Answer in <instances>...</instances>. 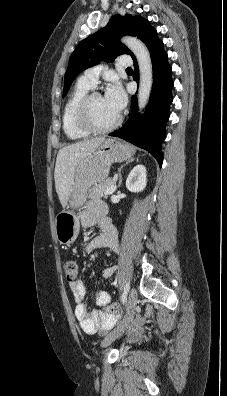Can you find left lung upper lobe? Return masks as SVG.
<instances>
[{"label": "left lung upper lobe", "instance_id": "obj_1", "mask_svg": "<svg viewBox=\"0 0 227 396\" xmlns=\"http://www.w3.org/2000/svg\"><path fill=\"white\" fill-rule=\"evenodd\" d=\"M124 35L136 36L146 46L158 38L157 31L143 17L131 14L124 17L114 15L104 28L77 45L65 74L63 96L80 72L98 64L99 61H113L120 54H129L134 58L132 52L119 41Z\"/></svg>", "mask_w": 227, "mask_h": 396}]
</instances>
